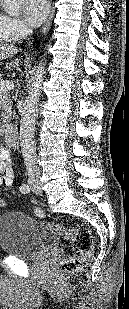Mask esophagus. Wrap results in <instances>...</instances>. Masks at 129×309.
Here are the masks:
<instances>
[{"label":"esophagus","mask_w":129,"mask_h":309,"mask_svg":"<svg viewBox=\"0 0 129 309\" xmlns=\"http://www.w3.org/2000/svg\"><path fill=\"white\" fill-rule=\"evenodd\" d=\"M53 17H54V8L52 7L50 15H49L46 23L44 24V26L39 31L38 36H43L49 31L51 24H52Z\"/></svg>","instance_id":"1"}]
</instances>
